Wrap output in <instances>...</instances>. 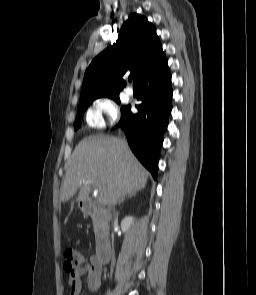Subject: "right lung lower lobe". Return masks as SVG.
Masks as SVG:
<instances>
[{
    "label": "right lung lower lobe",
    "instance_id": "1",
    "mask_svg": "<svg viewBox=\"0 0 256 295\" xmlns=\"http://www.w3.org/2000/svg\"><path fill=\"white\" fill-rule=\"evenodd\" d=\"M137 86L142 100V104L136 106L138 113L133 114L130 105L126 106L118 126L124 130L133 153L156 178L159 150L172 109L173 91L167 59L146 72Z\"/></svg>",
    "mask_w": 256,
    "mask_h": 295
}]
</instances>
